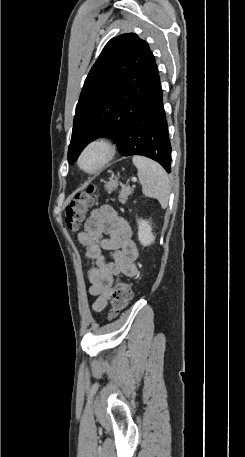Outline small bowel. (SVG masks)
I'll list each match as a JSON object with an SVG mask.
<instances>
[{
	"label": "small bowel",
	"instance_id": "1",
	"mask_svg": "<svg viewBox=\"0 0 245 457\" xmlns=\"http://www.w3.org/2000/svg\"><path fill=\"white\" fill-rule=\"evenodd\" d=\"M77 239L95 263L87 273V280L89 294L95 298L92 309L100 312L111 297L114 277H134L138 273L135 265L138 250L132 240L131 227L112 206L103 205L91 212ZM103 251L110 252L112 261L106 260Z\"/></svg>",
	"mask_w": 245,
	"mask_h": 457
}]
</instances>
